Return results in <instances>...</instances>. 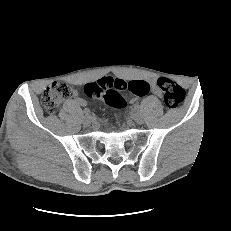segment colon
<instances>
[{"label":"colon","mask_w":231,"mask_h":231,"mask_svg":"<svg viewBox=\"0 0 231 231\" xmlns=\"http://www.w3.org/2000/svg\"><path fill=\"white\" fill-rule=\"evenodd\" d=\"M157 87L164 96L165 104L172 109L181 105L185 98L184 90L174 81L160 77L156 81ZM84 91L89 97H101L104 102L116 109L125 106L122 92L129 91L136 96H145L150 91V85L144 80L126 82L120 79L103 78L94 83H88ZM74 94L72 87L64 82H54L46 88L42 95V104L49 114L57 111L59 105Z\"/></svg>","instance_id":"5ec220e1"}]
</instances>
